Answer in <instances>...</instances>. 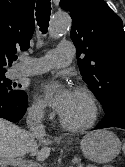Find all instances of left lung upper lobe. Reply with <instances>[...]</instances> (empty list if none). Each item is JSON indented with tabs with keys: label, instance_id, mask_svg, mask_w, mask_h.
I'll list each match as a JSON object with an SVG mask.
<instances>
[{
	"label": "left lung upper lobe",
	"instance_id": "1",
	"mask_svg": "<svg viewBox=\"0 0 125 167\" xmlns=\"http://www.w3.org/2000/svg\"><path fill=\"white\" fill-rule=\"evenodd\" d=\"M72 18L71 39L84 81L104 112L125 103V32L123 22L103 0H60ZM85 54L83 59L79 58Z\"/></svg>",
	"mask_w": 125,
	"mask_h": 167
}]
</instances>
